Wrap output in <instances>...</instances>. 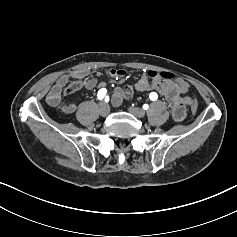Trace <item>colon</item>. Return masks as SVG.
Here are the masks:
<instances>
[{
  "label": "colon",
  "instance_id": "1",
  "mask_svg": "<svg viewBox=\"0 0 237 237\" xmlns=\"http://www.w3.org/2000/svg\"><path fill=\"white\" fill-rule=\"evenodd\" d=\"M159 76L163 79H174V76L170 73H159ZM82 84L79 81H74L72 83H70L67 88H66V93L71 94L74 93L76 91H78L81 88ZM190 110L192 114H196L197 110H198V105L197 102L195 100H191L190 103Z\"/></svg>",
  "mask_w": 237,
  "mask_h": 237
}]
</instances>
